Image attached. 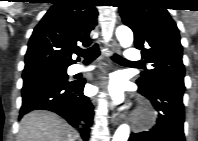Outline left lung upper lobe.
<instances>
[{
	"label": "left lung upper lobe",
	"mask_w": 198,
	"mask_h": 141,
	"mask_svg": "<svg viewBox=\"0 0 198 141\" xmlns=\"http://www.w3.org/2000/svg\"><path fill=\"white\" fill-rule=\"evenodd\" d=\"M159 0H124L119 7L123 23L134 32V43L153 69L142 72L140 89L149 91L161 81L184 85L182 45L176 23Z\"/></svg>",
	"instance_id": "left-lung-upper-lobe-1"
}]
</instances>
